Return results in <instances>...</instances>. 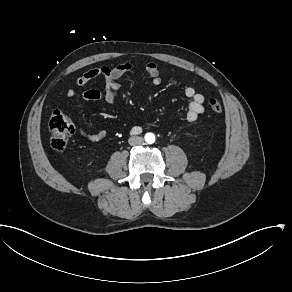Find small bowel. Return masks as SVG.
<instances>
[{"mask_svg": "<svg viewBox=\"0 0 292 292\" xmlns=\"http://www.w3.org/2000/svg\"><path fill=\"white\" fill-rule=\"evenodd\" d=\"M132 69L130 63H120L113 67L102 66L87 70L76 78V84L78 86H85L90 81L102 77L105 80L106 89L104 93L97 89H89L82 93V97L85 100L98 101L104 99L109 105L115 106L118 104V91L121 87L119 79L129 73ZM146 72L148 73L151 82L154 85L161 83V76L158 66L149 62L145 66ZM184 94L190 99L185 111V120L189 123L195 122L198 117L204 112V101L205 98L202 94L198 93L193 86H186ZM76 91L72 88L66 91V96L69 99L74 98ZM78 134L91 142H98L103 140L107 133L105 130H100L94 133L88 132L84 128L77 129Z\"/></svg>", "mask_w": 292, "mask_h": 292, "instance_id": "obj_1", "label": "small bowel"}]
</instances>
